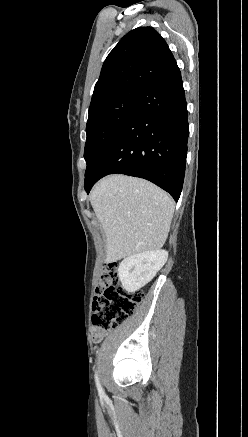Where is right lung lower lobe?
I'll list each match as a JSON object with an SVG mask.
<instances>
[{
	"label": "right lung lower lobe",
	"mask_w": 248,
	"mask_h": 437,
	"mask_svg": "<svg viewBox=\"0 0 248 437\" xmlns=\"http://www.w3.org/2000/svg\"><path fill=\"white\" fill-rule=\"evenodd\" d=\"M187 103L175 59L138 94L130 112L101 149L84 188L113 173L141 177L177 201L183 186L188 140Z\"/></svg>",
	"instance_id": "obj_1"
}]
</instances>
